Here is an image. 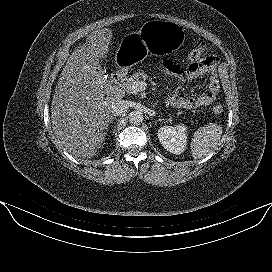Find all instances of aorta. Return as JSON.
Listing matches in <instances>:
<instances>
[{
    "instance_id": "obj_1",
    "label": "aorta",
    "mask_w": 272,
    "mask_h": 272,
    "mask_svg": "<svg viewBox=\"0 0 272 272\" xmlns=\"http://www.w3.org/2000/svg\"><path fill=\"white\" fill-rule=\"evenodd\" d=\"M143 114L140 111H133L129 115V121L133 125H139L140 123L143 122Z\"/></svg>"
}]
</instances>
